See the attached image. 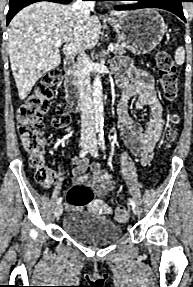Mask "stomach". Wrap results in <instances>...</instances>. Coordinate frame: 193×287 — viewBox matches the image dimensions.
Returning a JSON list of instances; mask_svg holds the SVG:
<instances>
[{
  "label": "stomach",
  "mask_w": 193,
  "mask_h": 287,
  "mask_svg": "<svg viewBox=\"0 0 193 287\" xmlns=\"http://www.w3.org/2000/svg\"><path fill=\"white\" fill-rule=\"evenodd\" d=\"M108 22L113 26L118 39L136 54L151 52L166 32L163 17L153 9L128 12Z\"/></svg>",
  "instance_id": "obj_1"
}]
</instances>
